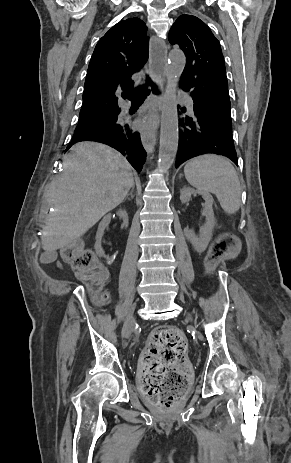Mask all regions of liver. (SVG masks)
<instances>
[{"mask_svg": "<svg viewBox=\"0 0 291 463\" xmlns=\"http://www.w3.org/2000/svg\"><path fill=\"white\" fill-rule=\"evenodd\" d=\"M133 185L131 166L119 152L95 142L74 145L50 187L55 211L46 220L42 248L55 253L75 242L116 208Z\"/></svg>", "mask_w": 291, "mask_h": 463, "instance_id": "liver-1", "label": "liver"}]
</instances>
